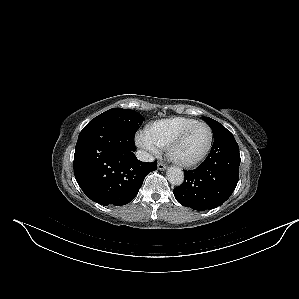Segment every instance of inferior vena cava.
<instances>
[{
    "label": "inferior vena cava",
    "mask_w": 299,
    "mask_h": 299,
    "mask_svg": "<svg viewBox=\"0 0 299 299\" xmlns=\"http://www.w3.org/2000/svg\"><path fill=\"white\" fill-rule=\"evenodd\" d=\"M136 157L140 160V161H144V162H153L154 161V157L149 154L146 151L143 150H138L136 152Z\"/></svg>",
    "instance_id": "1"
}]
</instances>
